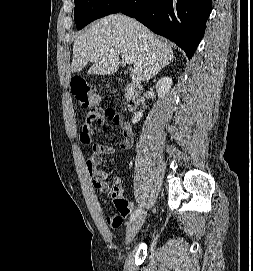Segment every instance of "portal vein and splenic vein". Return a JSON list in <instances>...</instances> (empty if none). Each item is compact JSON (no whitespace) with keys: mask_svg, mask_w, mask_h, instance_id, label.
<instances>
[{"mask_svg":"<svg viewBox=\"0 0 253 271\" xmlns=\"http://www.w3.org/2000/svg\"><path fill=\"white\" fill-rule=\"evenodd\" d=\"M121 57L124 63H127L129 65L132 64V60L126 57L125 55H121Z\"/></svg>","mask_w":253,"mask_h":271,"instance_id":"1","label":"portal vein and splenic vein"}]
</instances>
